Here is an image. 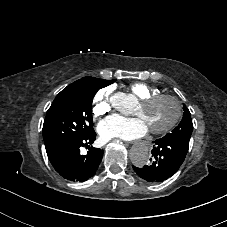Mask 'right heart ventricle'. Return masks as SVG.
<instances>
[{"label": "right heart ventricle", "instance_id": "1", "mask_svg": "<svg viewBox=\"0 0 227 227\" xmlns=\"http://www.w3.org/2000/svg\"><path fill=\"white\" fill-rule=\"evenodd\" d=\"M129 90L131 94L139 100L150 95H156L161 93L158 88L149 86L148 84L140 81L131 83L129 85Z\"/></svg>", "mask_w": 227, "mask_h": 227}]
</instances>
